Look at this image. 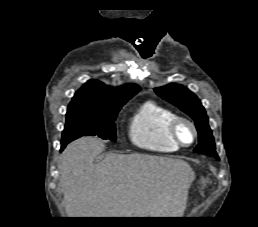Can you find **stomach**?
<instances>
[{"instance_id": "1", "label": "stomach", "mask_w": 258, "mask_h": 227, "mask_svg": "<svg viewBox=\"0 0 258 227\" xmlns=\"http://www.w3.org/2000/svg\"><path fill=\"white\" fill-rule=\"evenodd\" d=\"M206 183H207V181L204 178H201L198 181V188H200V189L204 188L206 186Z\"/></svg>"}]
</instances>
